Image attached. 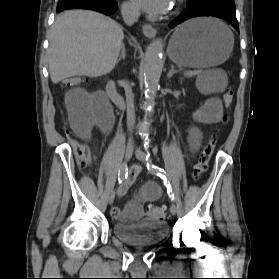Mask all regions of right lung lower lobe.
I'll return each mask as SVG.
<instances>
[{
    "label": "right lung lower lobe",
    "instance_id": "98d812e1",
    "mask_svg": "<svg viewBox=\"0 0 279 279\" xmlns=\"http://www.w3.org/2000/svg\"><path fill=\"white\" fill-rule=\"evenodd\" d=\"M78 8L91 9L110 15L117 10V3L114 0H59L56 11Z\"/></svg>",
    "mask_w": 279,
    "mask_h": 279
}]
</instances>
